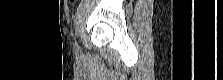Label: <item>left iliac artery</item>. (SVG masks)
Returning <instances> with one entry per match:
<instances>
[{"label":"left iliac artery","instance_id":"1","mask_svg":"<svg viewBox=\"0 0 223 80\" xmlns=\"http://www.w3.org/2000/svg\"><path fill=\"white\" fill-rule=\"evenodd\" d=\"M75 47H76V50L78 51L79 50V46L77 43H75Z\"/></svg>","mask_w":223,"mask_h":80}]
</instances>
